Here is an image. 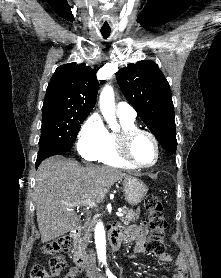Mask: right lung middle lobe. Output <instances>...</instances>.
Masks as SVG:
<instances>
[{
	"mask_svg": "<svg viewBox=\"0 0 221 278\" xmlns=\"http://www.w3.org/2000/svg\"><path fill=\"white\" fill-rule=\"evenodd\" d=\"M88 115L69 116L61 112H42L39 153L73 145L81 124Z\"/></svg>",
	"mask_w": 221,
	"mask_h": 278,
	"instance_id": "dd1d6c3e",
	"label": "right lung middle lobe"
}]
</instances>
